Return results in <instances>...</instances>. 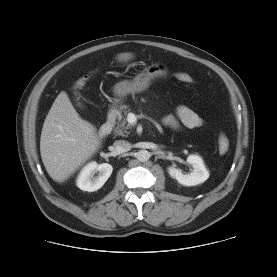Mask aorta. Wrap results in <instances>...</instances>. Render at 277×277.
<instances>
[{
	"instance_id": "obj_1",
	"label": "aorta",
	"mask_w": 277,
	"mask_h": 277,
	"mask_svg": "<svg viewBox=\"0 0 277 277\" xmlns=\"http://www.w3.org/2000/svg\"><path fill=\"white\" fill-rule=\"evenodd\" d=\"M150 158V154L147 150H140L137 152V159L141 162H145Z\"/></svg>"
}]
</instances>
